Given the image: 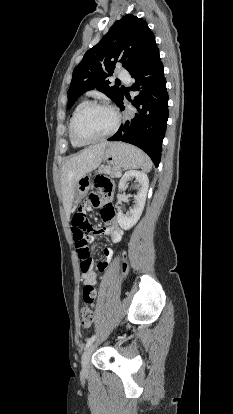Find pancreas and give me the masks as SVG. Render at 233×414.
Masks as SVG:
<instances>
[{
    "mask_svg": "<svg viewBox=\"0 0 233 414\" xmlns=\"http://www.w3.org/2000/svg\"><path fill=\"white\" fill-rule=\"evenodd\" d=\"M101 172L109 175L111 178H117L121 176V170L117 167H106L102 169Z\"/></svg>",
    "mask_w": 233,
    "mask_h": 414,
    "instance_id": "pancreas-1",
    "label": "pancreas"
}]
</instances>
